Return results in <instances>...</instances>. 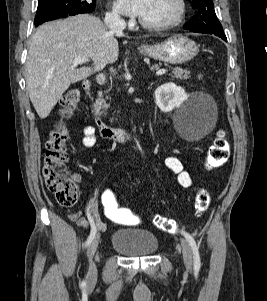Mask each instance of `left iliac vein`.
Instances as JSON below:
<instances>
[{"instance_id": "1", "label": "left iliac vein", "mask_w": 267, "mask_h": 301, "mask_svg": "<svg viewBox=\"0 0 267 301\" xmlns=\"http://www.w3.org/2000/svg\"><path fill=\"white\" fill-rule=\"evenodd\" d=\"M182 246L183 261L187 269L192 268V251L189 243L184 238L180 240Z\"/></svg>"}]
</instances>
